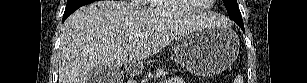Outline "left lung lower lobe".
Masks as SVG:
<instances>
[{
    "label": "left lung lower lobe",
    "instance_id": "1",
    "mask_svg": "<svg viewBox=\"0 0 307 83\" xmlns=\"http://www.w3.org/2000/svg\"><path fill=\"white\" fill-rule=\"evenodd\" d=\"M240 27H241V29L244 31V25L243 24H238Z\"/></svg>",
    "mask_w": 307,
    "mask_h": 83
}]
</instances>
